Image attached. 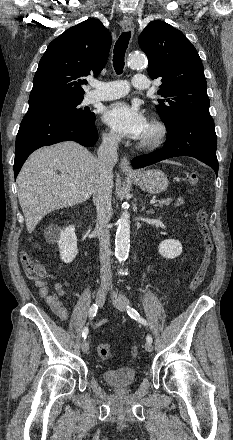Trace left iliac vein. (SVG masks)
<instances>
[{
    "instance_id": "4c4485c4",
    "label": "left iliac vein",
    "mask_w": 233,
    "mask_h": 440,
    "mask_svg": "<svg viewBox=\"0 0 233 440\" xmlns=\"http://www.w3.org/2000/svg\"><path fill=\"white\" fill-rule=\"evenodd\" d=\"M112 300H113V305L117 309H119L121 311H125L126 310V303L123 301V298L121 296L115 295V296L112 297ZM145 350L147 352H151L153 350V346H152L151 342H146L145 343Z\"/></svg>"
}]
</instances>
